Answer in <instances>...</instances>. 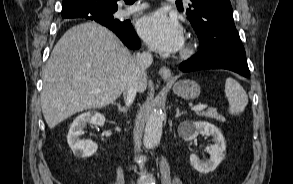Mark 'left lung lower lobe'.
<instances>
[{"instance_id":"0a47b994","label":"left lung lower lobe","mask_w":293,"mask_h":184,"mask_svg":"<svg viewBox=\"0 0 293 184\" xmlns=\"http://www.w3.org/2000/svg\"><path fill=\"white\" fill-rule=\"evenodd\" d=\"M229 32L218 34L214 40L201 41L200 51L180 65L184 72L200 69H228L250 77L246 54L236 28L229 26Z\"/></svg>"}]
</instances>
